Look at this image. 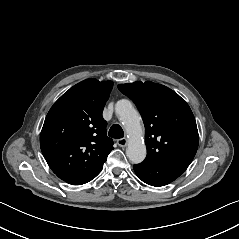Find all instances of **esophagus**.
I'll return each instance as SVG.
<instances>
[{"instance_id": "1", "label": "esophagus", "mask_w": 239, "mask_h": 239, "mask_svg": "<svg viewBox=\"0 0 239 239\" xmlns=\"http://www.w3.org/2000/svg\"><path fill=\"white\" fill-rule=\"evenodd\" d=\"M117 144H118L120 147H125V146H127V144H128V140H127L126 138L118 139V140H117Z\"/></svg>"}]
</instances>
